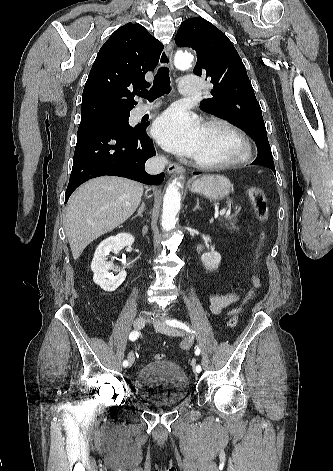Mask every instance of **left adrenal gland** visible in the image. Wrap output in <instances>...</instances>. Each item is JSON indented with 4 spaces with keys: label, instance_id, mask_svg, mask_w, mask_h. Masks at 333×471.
Here are the masks:
<instances>
[{
    "label": "left adrenal gland",
    "instance_id": "1",
    "mask_svg": "<svg viewBox=\"0 0 333 471\" xmlns=\"http://www.w3.org/2000/svg\"><path fill=\"white\" fill-rule=\"evenodd\" d=\"M196 201L197 203H196V206L193 208V211L201 209V207L199 206V199L197 198Z\"/></svg>",
    "mask_w": 333,
    "mask_h": 471
}]
</instances>
